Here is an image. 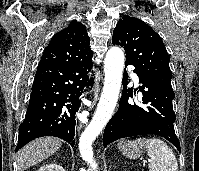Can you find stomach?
<instances>
[{
	"label": "stomach",
	"mask_w": 199,
	"mask_h": 171,
	"mask_svg": "<svg viewBox=\"0 0 199 171\" xmlns=\"http://www.w3.org/2000/svg\"><path fill=\"white\" fill-rule=\"evenodd\" d=\"M119 151L128 158H138L142 154V147L140 145H133L128 140H122L118 144Z\"/></svg>",
	"instance_id": "1"
}]
</instances>
